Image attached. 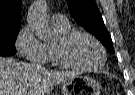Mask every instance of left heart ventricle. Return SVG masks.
<instances>
[{
    "instance_id": "obj_1",
    "label": "left heart ventricle",
    "mask_w": 135,
    "mask_h": 95,
    "mask_svg": "<svg viewBox=\"0 0 135 95\" xmlns=\"http://www.w3.org/2000/svg\"><path fill=\"white\" fill-rule=\"evenodd\" d=\"M65 54L71 61L89 67L99 65L102 60L100 50L96 44L81 35L73 39L65 48Z\"/></svg>"
}]
</instances>
